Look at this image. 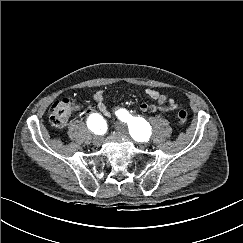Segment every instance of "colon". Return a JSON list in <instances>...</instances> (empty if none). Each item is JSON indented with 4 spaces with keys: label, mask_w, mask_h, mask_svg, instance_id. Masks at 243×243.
<instances>
[{
    "label": "colon",
    "mask_w": 243,
    "mask_h": 243,
    "mask_svg": "<svg viewBox=\"0 0 243 243\" xmlns=\"http://www.w3.org/2000/svg\"><path fill=\"white\" fill-rule=\"evenodd\" d=\"M74 105L75 99L73 97H64L54 102L49 111L51 124L58 129L64 128L68 124ZM187 117L186 111H178L177 120L180 125L187 122Z\"/></svg>",
    "instance_id": "1"
}]
</instances>
